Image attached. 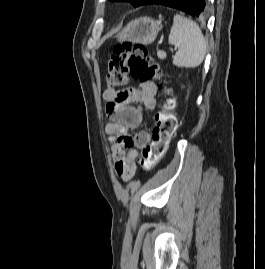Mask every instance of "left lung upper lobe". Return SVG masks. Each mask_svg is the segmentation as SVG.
Wrapping results in <instances>:
<instances>
[{"label": "left lung upper lobe", "instance_id": "left-lung-upper-lobe-1", "mask_svg": "<svg viewBox=\"0 0 265 269\" xmlns=\"http://www.w3.org/2000/svg\"><path fill=\"white\" fill-rule=\"evenodd\" d=\"M113 1H129L133 3L135 6H140L143 4L145 0H113Z\"/></svg>", "mask_w": 265, "mask_h": 269}]
</instances>
